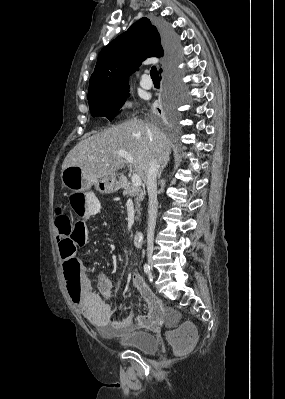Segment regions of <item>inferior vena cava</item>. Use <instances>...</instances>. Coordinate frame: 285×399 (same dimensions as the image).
<instances>
[{"label": "inferior vena cava", "mask_w": 285, "mask_h": 399, "mask_svg": "<svg viewBox=\"0 0 285 399\" xmlns=\"http://www.w3.org/2000/svg\"><path fill=\"white\" fill-rule=\"evenodd\" d=\"M159 165L154 158L150 159L147 172V192H148V230H147V250L153 251L154 230L156 226L158 202H157V174Z\"/></svg>", "instance_id": "602c4592"}]
</instances>
